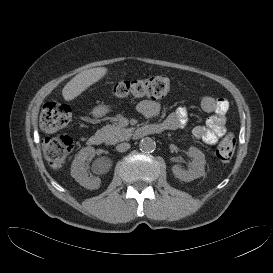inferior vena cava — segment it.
I'll list each match as a JSON object with an SVG mask.
<instances>
[{
    "label": "inferior vena cava",
    "instance_id": "602c4592",
    "mask_svg": "<svg viewBox=\"0 0 273 273\" xmlns=\"http://www.w3.org/2000/svg\"><path fill=\"white\" fill-rule=\"evenodd\" d=\"M130 148V144L127 142L120 143L116 146L118 152H125Z\"/></svg>",
    "mask_w": 273,
    "mask_h": 273
}]
</instances>
